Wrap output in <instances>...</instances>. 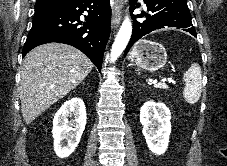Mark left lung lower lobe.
<instances>
[{
    "instance_id": "0a47b994",
    "label": "left lung lower lobe",
    "mask_w": 227,
    "mask_h": 166,
    "mask_svg": "<svg viewBox=\"0 0 227 166\" xmlns=\"http://www.w3.org/2000/svg\"><path fill=\"white\" fill-rule=\"evenodd\" d=\"M137 0H130L131 12ZM148 11L151 14H141L147 16L146 20L133 22V32L129 44L125 50L126 55L132 45L142 36L158 29L166 27L183 28L196 37V31L192 25L191 15L187 6V0H144ZM141 17L134 15L133 18Z\"/></svg>"
}]
</instances>
